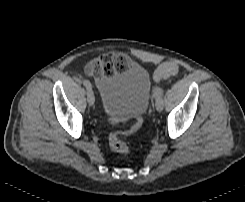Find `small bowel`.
<instances>
[{
  "label": "small bowel",
  "mask_w": 245,
  "mask_h": 202,
  "mask_svg": "<svg viewBox=\"0 0 245 202\" xmlns=\"http://www.w3.org/2000/svg\"><path fill=\"white\" fill-rule=\"evenodd\" d=\"M153 80H154L155 82L160 81V80H159V78L156 76V74H154V76H153Z\"/></svg>",
  "instance_id": "obj_1"
}]
</instances>
